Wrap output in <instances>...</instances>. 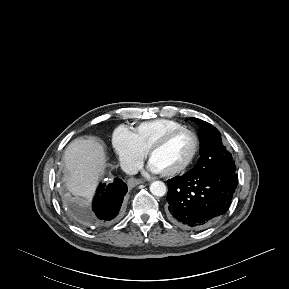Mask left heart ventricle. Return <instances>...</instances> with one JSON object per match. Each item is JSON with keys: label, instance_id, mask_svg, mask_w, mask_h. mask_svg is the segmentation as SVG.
Wrapping results in <instances>:
<instances>
[{"label": "left heart ventricle", "instance_id": "b2bd125f", "mask_svg": "<svg viewBox=\"0 0 289 289\" xmlns=\"http://www.w3.org/2000/svg\"><path fill=\"white\" fill-rule=\"evenodd\" d=\"M194 140L184 133L173 138L166 146L155 152L150 163L160 172H168L181 166L191 155Z\"/></svg>", "mask_w": 289, "mask_h": 289}]
</instances>
